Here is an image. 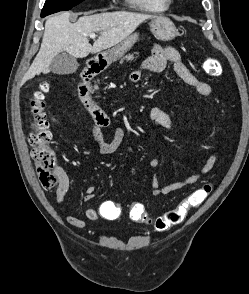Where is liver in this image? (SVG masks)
I'll return each mask as SVG.
<instances>
[{
  "mask_svg": "<svg viewBox=\"0 0 249 294\" xmlns=\"http://www.w3.org/2000/svg\"><path fill=\"white\" fill-rule=\"evenodd\" d=\"M71 13H61L49 17L40 50L26 72L23 82L41 73L50 72V64L59 53L66 51L75 58H85L90 53H98L113 47L131 35L151 15L115 11L80 17L77 22H70ZM100 32L93 46L88 35Z\"/></svg>",
  "mask_w": 249,
  "mask_h": 294,
  "instance_id": "obj_1",
  "label": "liver"
}]
</instances>
